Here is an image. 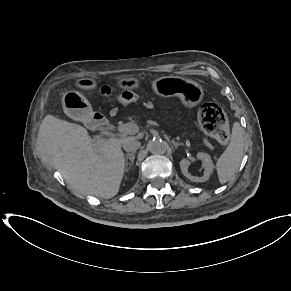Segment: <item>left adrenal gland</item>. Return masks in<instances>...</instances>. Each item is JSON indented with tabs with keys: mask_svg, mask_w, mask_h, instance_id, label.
<instances>
[{
	"mask_svg": "<svg viewBox=\"0 0 291 291\" xmlns=\"http://www.w3.org/2000/svg\"><path fill=\"white\" fill-rule=\"evenodd\" d=\"M172 144L176 149L178 146L182 145V143L176 142L175 140H172Z\"/></svg>",
	"mask_w": 291,
	"mask_h": 291,
	"instance_id": "1",
	"label": "left adrenal gland"
}]
</instances>
